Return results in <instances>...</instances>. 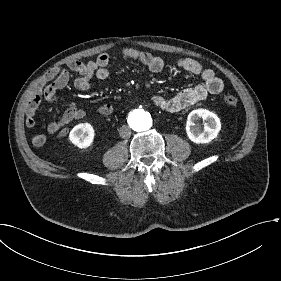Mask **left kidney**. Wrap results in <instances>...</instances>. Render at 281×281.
Masks as SVG:
<instances>
[{
	"label": "left kidney",
	"instance_id": "obj_1",
	"mask_svg": "<svg viewBox=\"0 0 281 281\" xmlns=\"http://www.w3.org/2000/svg\"><path fill=\"white\" fill-rule=\"evenodd\" d=\"M200 118L204 121L203 130L196 124ZM220 130V119L209 110L196 109L191 111L187 117L186 133L194 143H208L217 137Z\"/></svg>",
	"mask_w": 281,
	"mask_h": 281
}]
</instances>
